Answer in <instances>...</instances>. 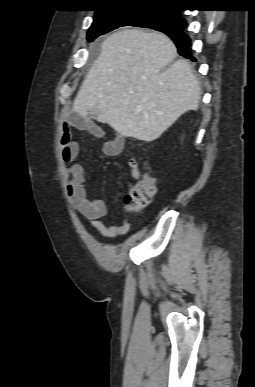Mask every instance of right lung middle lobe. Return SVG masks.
<instances>
[{
	"label": "right lung middle lobe",
	"instance_id": "dd1d6c3e",
	"mask_svg": "<svg viewBox=\"0 0 255 387\" xmlns=\"http://www.w3.org/2000/svg\"><path fill=\"white\" fill-rule=\"evenodd\" d=\"M141 26L158 31L185 28L187 23L180 13L168 8H133L95 14L87 40L95 38L123 26Z\"/></svg>",
	"mask_w": 255,
	"mask_h": 387
}]
</instances>
